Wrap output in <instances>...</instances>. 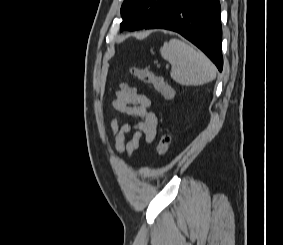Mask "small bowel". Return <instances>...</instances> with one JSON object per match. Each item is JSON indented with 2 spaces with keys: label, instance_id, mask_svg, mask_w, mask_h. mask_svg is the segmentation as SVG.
Masks as SVG:
<instances>
[{
  "label": "small bowel",
  "instance_id": "small-bowel-1",
  "mask_svg": "<svg viewBox=\"0 0 283 245\" xmlns=\"http://www.w3.org/2000/svg\"><path fill=\"white\" fill-rule=\"evenodd\" d=\"M111 107L115 112L138 118V121L134 124L126 123L121 126L118 125L116 119L111 120L110 127L114 135L115 149L118 153H126L129 157H132L142 138L147 143L154 141L157 134L158 119L156 114L150 110L151 101L146 95L126 84L122 85L116 92ZM130 132H132L131 139L125 141L126 134Z\"/></svg>",
  "mask_w": 283,
  "mask_h": 245
}]
</instances>
